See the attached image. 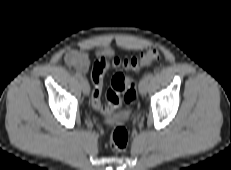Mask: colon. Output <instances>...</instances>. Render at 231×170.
Segmentation results:
<instances>
[{"mask_svg": "<svg viewBox=\"0 0 231 170\" xmlns=\"http://www.w3.org/2000/svg\"><path fill=\"white\" fill-rule=\"evenodd\" d=\"M160 58V52L156 48H150L143 52L139 57L121 59L114 57L107 60L104 57L97 59L92 67L91 80L93 91L91 95L92 106L107 115L116 108L121 101L128 105L135 103L137 99L135 82L123 71L137 72L144 66H147ZM114 69L117 72L113 76L110 88L106 93L107 105L102 102V86L104 74L107 70ZM129 142V134L125 127L118 126L114 128L110 135V145L113 150L121 152L126 150Z\"/></svg>", "mask_w": 231, "mask_h": 170, "instance_id": "obj_1", "label": "colon"}]
</instances>
